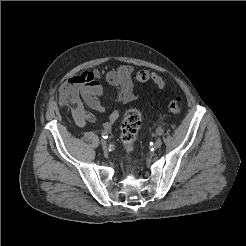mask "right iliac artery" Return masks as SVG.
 Segmentation results:
<instances>
[{"mask_svg":"<svg viewBox=\"0 0 246 246\" xmlns=\"http://www.w3.org/2000/svg\"><path fill=\"white\" fill-rule=\"evenodd\" d=\"M101 135H102V138L104 139L108 138V133L106 131H103Z\"/></svg>","mask_w":246,"mask_h":246,"instance_id":"obj_1","label":"right iliac artery"}]
</instances>
